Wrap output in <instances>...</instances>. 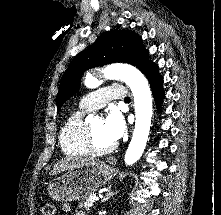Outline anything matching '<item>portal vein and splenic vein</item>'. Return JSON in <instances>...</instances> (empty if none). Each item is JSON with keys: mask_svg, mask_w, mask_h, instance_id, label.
<instances>
[{"mask_svg": "<svg viewBox=\"0 0 221 215\" xmlns=\"http://www.w3.org/2000/svg\"><path fill=\"white\" fill-rule=\"evenodd\" d=\"M93 199H94L95 201H98V200H99V197H98V196H94Z\"/></svg>", "mask_w": 221, "mask_h": 215, "instance_id": "18ae733b", "label": "portal vein and splenic vein"}]
</instances>
